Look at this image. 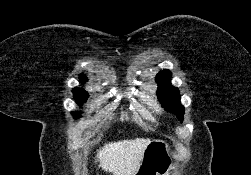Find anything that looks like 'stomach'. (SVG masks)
Returning a JSON list of instances; mask_svg holds the SVG:
<instances>
[{"label":"stomach","instance_id":"1","mask_svg":"<svg viewBox=\"0 0 251 175\" xmlns=\"http://www.w3.org/2000/svg\"><path fill=\"white\" fill-rule=\"evenodd\" d=\"M174 161L170 145L163 139H152L135 175H171Z\"/></svg>","mask_w":251,"mask_h":175}]
</instances>
